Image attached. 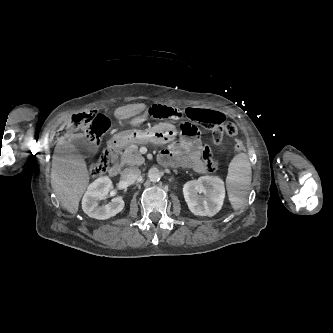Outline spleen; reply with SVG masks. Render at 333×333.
Masks as SVG:
<instances>
[{"instance_id":"obj_1","label":"spleen","mask_w":333,"mask_h":333,"mask_svg":"<svg viewBox=\"0 0 333 333\" xmlns=\"http://www.w3.org/2000/svg\"><path fill=\"white\" fill-rule=\"evenodd\" d=\"M252 171L246 153H239L230 162L226 187L234 210L240 209L249 195Z\"/></svg>"}]
</instances>
